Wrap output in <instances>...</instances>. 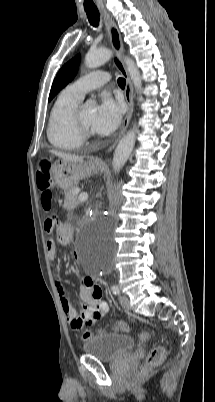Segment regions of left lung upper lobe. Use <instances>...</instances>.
I'll list each match as a JSON object with an SVG mask.
<instances>
[{
  "label": "left lung upper lobe",
  "mask_w": 215,
  "mask_h": 402,
  "mask_svg": "<svg viewBox=\"0 0 215 402\" xmlns=\"http://www.w3.org/2000/svg\"><path fill=\"white\" fill-rule=\"evenodd\" d=\"M79 60L80 56L77 55L60 69L52 84L48 101H51L75 77L79 67Z\"/></svg>",
  "instance_id": "5c2ea615"
}]
</instances>
